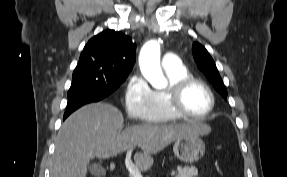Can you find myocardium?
<instances>
[{
	"instance_id": "1",
	"label": "myocardium",
	"mask_w": 287,
	"mask_h": 177,
	"mask_svg": "<svg viewBox=\"0 0 287 177\" xmlns=\"http://www.w3.org/2000/svg\"><path fill=\"white\" fill-rule=\"evenodd\" d=\"M200 85L202 86L210 97V107L208 111L205 114L202 115H194L189 113L183 106V96L186 92V90L191 85ZM167 97H168V103L171 111L183 118L187 119H193V120H204L208 118L214 111L216 99L215 94L212 88L203 80L193 77V76H186L182 78L181 80L177 81L176 83L170 85L166 89Z\"/></svg>"
}]
</instances>
